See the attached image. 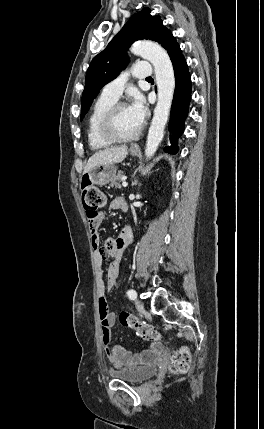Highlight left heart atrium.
Masks as SVG:
<instances>
[{
  "label": "left heart atrium",
  "mask_w": 264,
  "mask_h": 429,
  "mask_svg": "<svg viewBox=\"0 0 264 429\" xmlns=\"http://www.w3.org/2000/svg\"><path fill=\"white\" fill-rule=\"evenodd\" d=\"M129 109L132 113V115L134 116V118L140 123L142 124L146 114H147V108L144 102V99L142 98V96L140 95H136L133 98V101L131 103V105L129 106Z\"/></svg>",
  "instance_id": "left-heart-atrium-1"
}]
</instances>
